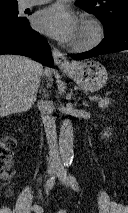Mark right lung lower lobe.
I'll use <instances>...</instances> for the list:
<instances>
[{"label":"right lung lower lobe","mask_w":128,"mask_h":213,"mask_svg":"<svg viewBox=\"0 0 128 213\" xmlns=\"http://www.w3.org/2000/svg\"><path fill=\"white\" fill-rule=\"evenodd\" d=\"M17 54L36 59L53 66V58L47 41L30 28L27 19L21 22L0 21V55Z\"/></svg>","instance_id":"1"}]
</instances>
